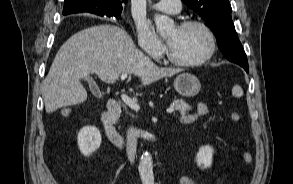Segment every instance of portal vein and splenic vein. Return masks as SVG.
Returning a JSON list of instances; mask_svg holds the SVG:
<instances>
[{
    "mask_svg": "<svg viewBox=\"0 0 293 184\" xmlns=\"http://www.w3.org/2000/svg\"><path fill=\"white\" fill-rule=\"evenodd\" d=\"M127 76H128L127 73L122 74V75H121V80L126 79ZM121 98H122L123 102H124L127 106H129L131 109L136 110V111H138V110L140 109L138 103H137L136 101L132 100V99H131L130 97H128L127 95L122 94V95H121ZM173 112H174V107H170V108L167 109V113H173Z\"/></svg>",
    "mask_w": 293,
    "mask_h": 184,
    "instance_id": "obj_1",
    "label": "portal vein and splenic vein"
}]
</instances>
